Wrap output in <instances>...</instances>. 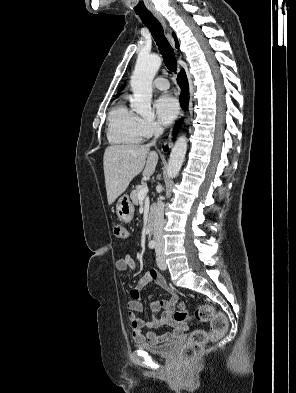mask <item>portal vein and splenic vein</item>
I'll return each mask as SVG.
<instances>
[{
	"label": "portal vein and splenic vein",
	"mask_w": 296,
	"mask_h": 393,
	"mask_svg": "<svg viewBox=\"0 0 296 393\" xmlns=\"http://www.w3.org/2000/svg\"><path fill=\"white\" fill-rule=\"evenodd\" d=\"M149 189L147 187V185H145L140 192L138 193V199L139 200H143L145 198V196L147 195Z\"/></svg>",
	"instance_id": "obj_1"
}]
</instances>
